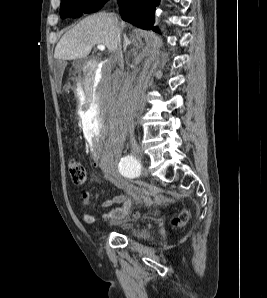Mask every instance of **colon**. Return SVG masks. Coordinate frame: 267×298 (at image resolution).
Wrapping results in <instances>:
<instances>
[{"mask_svg":"<svg viewBox=\"0 0 267 298\" xmlns=\"http://www.w3.org/2000/svg\"><path fill=\"white\" fill-rule=\"evenodd\" d=\"M68 170L71 180L75 185H83L86 182L87 170L78 160L70 159L68 162ZM136 216H139V213H136ZM188 218L189 213L183 210L172 218L171 224L173 227H182L187 223Z\"/></svg>","mask_w":267,"mask_h":298,"instance_id":"1","label":"colon"}]
</instances>
